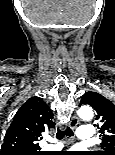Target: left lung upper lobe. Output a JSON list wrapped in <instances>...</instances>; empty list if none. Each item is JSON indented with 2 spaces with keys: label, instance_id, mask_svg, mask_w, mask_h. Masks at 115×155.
<instances>
[{
  "label": "left lung upper lobe",
  "instance_id": "obj_1",
  "mask_svg": "<svg viewBox=\"0 0 115 155\" xmlns=\"http://www.w3.org/2000/svg\"><path fill=\"white\" fill-rule=\"evenodd\" d=\"M80 105H90L96 111L99 121V132L102 134L103 151L92 152L91 155H115V105L97 92L83 95Z\"/></svg>",
  "mask_w": 115,
  "mask_h": 155
}]
</instances>
